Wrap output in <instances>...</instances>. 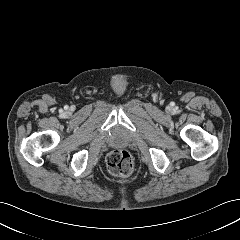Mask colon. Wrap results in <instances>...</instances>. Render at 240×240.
I'll use <instances>...</instances> for the list:
<instances>
[{"mask_svg":"<svg viewBox=\"0 0 240 240\" xmlns=\"http://www.w3.org/2000/svg\"><path fill=\"white\" fill-rule=\"evenodd\" d=\"M109 172L114 176L126 177L134 170V161L130 153L124 149H116L107 157Z\"/></svg>","mask_w":240,"mask_h":240,"instance_id":"5ec220e1","label":"colon"}]
</instances>
